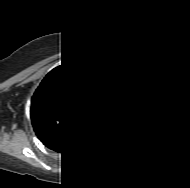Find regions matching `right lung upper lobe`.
Here are the masks:
<instances>
[{
  "instance_id": "cb5924a9",
  "label": "right lung upper lobe",
  "mask_w": 190,
  "mask_h": 188,
  "mask_svg": "<svg viewBox=\"0 0 190 188\" xmlns=\"http://www.w3.org/2000/svg\"><path fill=\"white\" fill-rule=\"evenodd\" d=\"M83 78L76 66H58L44 77L32 98L35 133L52 150L78 144L91 129V122L83 118L82 108L73 98Z\"/></svg>"
}]
</instances>
